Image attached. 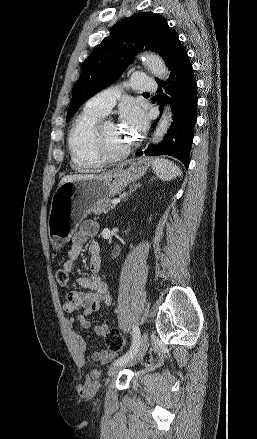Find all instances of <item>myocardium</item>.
Masks as SVG:
<instances>
[{
  "label": "myocardium",
  "mask_w": 257,
  "mask_h": 439,
  "mask_svg": "<svg viewBox=\"0 0 257 439\" xmlns=\"http://www.w3.org/2000/svg\"><path fill=\"white\" fill-rule=\"evenodd\" d=\"M95 144L97 151L101 156L102 160L105 161H115L127 156L132 148V146H126L118 151H112L107 147L102 129L97 130Z\"/></svg>",
  "instance_id": "obj_1"
}]
</instances>
